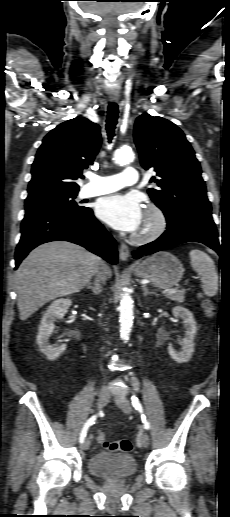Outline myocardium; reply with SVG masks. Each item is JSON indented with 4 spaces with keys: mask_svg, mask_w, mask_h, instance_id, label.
<instances>
[{
    "mask_svg": "<svg viewBox=\"0 0 230 517\" xmlns=\"http://www.w3.org/2000/svg\"><path fill=\"white\" fill-rule=\"evenodd\" d=\"M145 214L150 217L151 226L141 232H137L133 236V240L137 243H149L158 239L166 230L168 220L165 212L156 204L150 203L147 205Z\"/></svg>",
    "mask_w": 230,
    "mask_h": 517,
    "instance_id": "obj_1",
    "label": "myocardium"
}]
</instances>
